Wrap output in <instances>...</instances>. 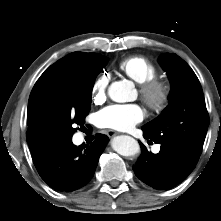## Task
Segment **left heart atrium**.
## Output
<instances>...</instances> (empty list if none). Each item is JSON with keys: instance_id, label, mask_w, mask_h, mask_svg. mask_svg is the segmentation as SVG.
<instances>
[{"instance_id": "left-heart-atrium-1", "label": "left heart atrium", "mask_w": 221, "mask_h": 221, "mask_svg": "<svg viewBox=\"0 0 221 221\" xmlns=\"http://www.w3.org/2000/svg\"><path fill=\"white\" fill-rule=\"evenodd\" d=\"M144 118L142 108L137 104H114L102 109L97 115L101 127L128 131Z\"/></svg>"}]
</instances>
